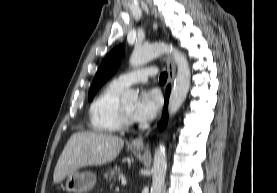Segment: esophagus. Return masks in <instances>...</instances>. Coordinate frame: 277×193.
<instances>
[{"label":"esophagus","mask_w":277,"mask_h":193,"mask_svg":"<svg viewBox=\"0 0 277 193\" xmlns=\"http://www.w3.org/2000/svg\"><path fill=\"white\" fill-rule=\"evenodd\" d=\"M165 61L167 65V72H168V80H167V85L172 86L175 78V66L173 62V58L171 55H166L165 56ZM149 131L146 132L144 136H139L135 139L132 140L131 144L135 147H140L143 148L145 146V137L148 135Z\"/></svg>","instance_id":"esophagus-1"}]
</instances>
